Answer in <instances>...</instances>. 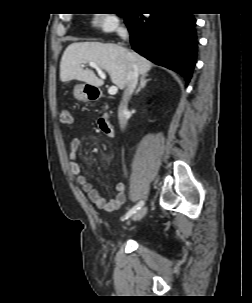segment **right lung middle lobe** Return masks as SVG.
I'll use <instances>...</instances> for the list:
<instances>
[{"label":"right lung middle lobe","mask_w":252,"mask_h":303,"mask_svg":"<svg viewBox=\"0 0 252 303\" xmlns=\"http://www.w3.org/2000/svg\"><path fill=\"white\" fill-rule=\"evenodd\" d=\"M123 17H125L127 14H121Z\"/></svg>","instance_id":"obj_1"}]
</instances>
